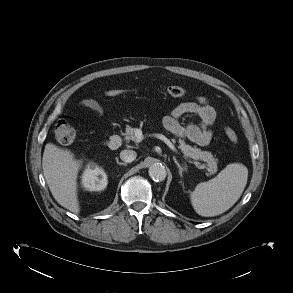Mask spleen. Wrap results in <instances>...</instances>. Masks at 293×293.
<instances>
[{"label":"spleen","mask_w":293,"mask_h":293,"mask_svg":"<svg viewBox=\"0 0 293 293\" xmlns=\"http://www.w3.org/2000/svg\"><path fill=\"white\" fill-rule=\"evenodd\" d=\"M248 169L241 163L226 166L215 178L199 183L191 193L195 211L205 217L229 210L241 197L247 184Z\"/></svg>","instance_id":"1"}]
</instances>
